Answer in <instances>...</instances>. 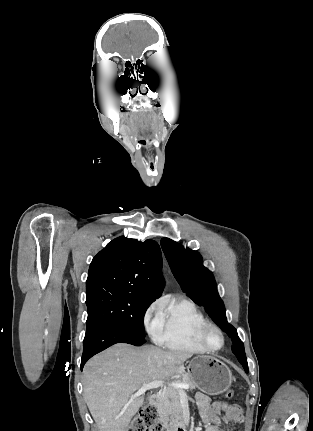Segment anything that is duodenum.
Masks as SVG:
<instances>
[{"label": "duodenum", "mask_w": 313, "mask_h": 431, "mask_svg": "<svg viewBox=\"0 0 313 431\" xmlns=\"http://www.w3.org/2000/svg\"><path fill=\"white\" fill-rule=\"evenodd\" d=\"M158 402V395L154 394L150 397V404L155 406ZM167 431H187L186 426L184 423H177L168 426Z\"/></svg>", "instance_id": "1"}]
</instances>
